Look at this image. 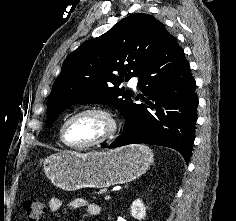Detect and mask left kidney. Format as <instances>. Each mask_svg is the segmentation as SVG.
<instances>
[{
	"mask_svg": "<svg viewBox=\"0 0 236 221\" xmlns=\"http://www.w3.org/2000/svg\"><path fill=\"white\" fill-rule=\"evenodd\" d=\"M131 215L137 220H142L146 216V207L141 199H136L132 203Z\"/></svg>",
	"mask_w": 236,
	"mask_h": 221,
	"instance_id": "left-kidney-1",
	"label": "left kidney"
}]
</instances>
